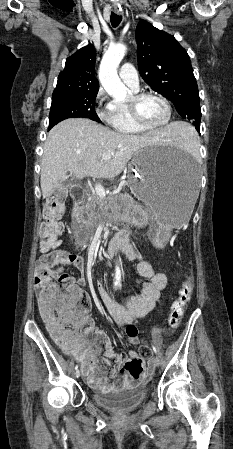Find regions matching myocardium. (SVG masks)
Listing matches in <instances>:
<instances>
[{"label":"myocardium","instance_id":"obj_1","mask_svg":"<svg viewBox=\"0 0 233 449\" xmlns=\"http://www.w3.org/2000/svg\"><path fill=\"white\" fill-rule=\"evenodd\" d=\"M147 96H154L158 99H160L166 106L167 108V116L165 118V120L160 123V124H156V125H151L146 123L143 118L141 117L140 111H139V104L140 101L147 97ZM128 111L131 115L132 120L141 128L145 129V130H157L160 128L165 127L171 120V116H172V106L170 104V102L168 101V99L166 97H164L162 94L155 92V91H140V92H134L129 100L126 103Z\"/></svg>","mask_w":233,"mask_h":449}]
</instances>
